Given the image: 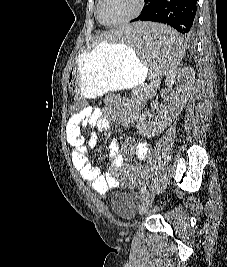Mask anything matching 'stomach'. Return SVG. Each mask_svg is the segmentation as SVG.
<instances>
[{
    "instance_id": "obj_1",
    "label": "stomach",
    "mask_w": 227,
    "mask_h": 267,
    "mask_svg": "<svg viewBox=\"0 0 227 267\" xmlns=\"http://www.w3.org/2000/svg\"><path fill=\"white\" fill-rule=\"evenodd\" d=\"M147 67L151 69V63L138 59L134 47L106 41L76 57L65 83L70 92L95 98L108 91L136 87L146 77Z\"/></svg>"
}]
</instances>
